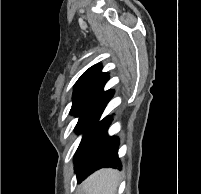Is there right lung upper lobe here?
<instances>
[{
  "label": "right lung upper lobe",
  "mask_w": 201,
  "mask_h": 194,
  "mask_svg": "<svg viewBox=\"0 0 201 194\" xmlns=\"http://www.w3.org/2000/svg\"><path fill=\"white\" fill-rule=\"evenodd\" d=\"M107 80L108 74L101 72L100 64L90 67L75 84L73 104L91 103L109 92L110 90L103 91Z\"/></svg>",
  "instance_id": "right-lung-upper-lobe-1"
}]
</instances>
